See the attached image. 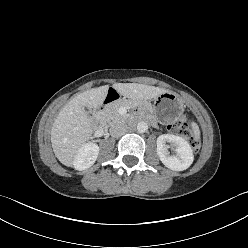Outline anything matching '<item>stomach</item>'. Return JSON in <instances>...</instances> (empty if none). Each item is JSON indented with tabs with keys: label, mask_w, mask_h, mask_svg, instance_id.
Returning a JSON list of instances; mask_svg holds the SVG:
<instances>
[{
	"label": "stomach",
	"mask_w": 248,
	"mask_h": 248,
	"mask_svg": "<svg viewBox=\"0 0 248 248\" xmlns=\"http://www.w3.org/2000/svg\"><path fill=\"white\" fill-rule=\"evenodd\" d=\"M184 104L181 98L172 92H164L158 95L149 111L153 113L160 122L171 123L181 116Z\"/></svg>",
	"instance_id": "1"
}]
</instances>
